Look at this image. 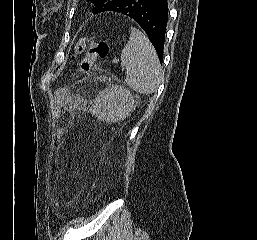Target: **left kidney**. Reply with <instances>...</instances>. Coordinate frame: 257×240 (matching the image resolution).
<instances>
[{"instance_id": "left-kidney-1", "label": "left kidney", "mask_w": 257, "mask_h": 240, "mask_svg": "<svg viewBox=\"0 0 257 240\" xmlns=\"http://www.w3.org/2000/svg\"><path fill=\"white\" fill-rule=\"evenodd\" d=\"M134 107V98L123 87L106 89L97 98V114L100 119L118 121L127 117Z\"/></svg>"}]
</instances>
